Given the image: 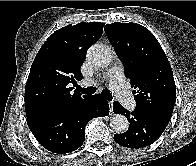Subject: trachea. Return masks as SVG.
I'll use <instances>...</instances> for the list:
<instances>
[{"mask_svg": "<svg viewBox=\"0 0 196 166\" xmlns=\"http://www.w3.org/2000/svg\"><path fill=\"white\" fill-rule=\"evenodd\" d=\"M77 87V90L79 92H82L83 94H87V95H92L96 92V88L95 87H88V88H83L81 86H76ZM102 95L104 96L105 99L111 101L113 99L111 93L109 92V90L107 89H104L102 91Z\"/></svg>", "mask_w": 196, "mask_h": 166, "instance_id": "3493384b", "label": "trachea"}]
</instances>
